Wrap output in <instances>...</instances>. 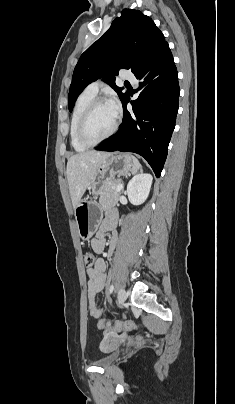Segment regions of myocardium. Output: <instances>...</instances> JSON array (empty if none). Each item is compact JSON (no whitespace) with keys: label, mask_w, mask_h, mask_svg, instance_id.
<instances>
[{"label":"myocardium","mask_w":235,"mask_h":404,"mask_svg":"<svg viewBox=\"0 0 235 404\" xmlns=\"http://www.w3.org/2000/svg\"><path fill=\"white\" fill-rule=\"evenodd\" d=\"M106 100L102 99V98H97L94 99L85 109V111L83 112L79 123H78V128H77V136L79 141L88 146V147H93L96 146L97 144L109 139L118 129V125H119V115L117 114L115 117V121L113 123V126L111 127V129L108 131V133H106L103 137L97 139V140H90L87 135H86V128H87V124L90 120V117L92 115V113L94 112V110L102 105V104H106Z\"/></svg>","instance_id":"obj_1"}]
</instances>
